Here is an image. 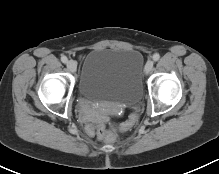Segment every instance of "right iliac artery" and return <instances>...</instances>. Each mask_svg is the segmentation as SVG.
Returning a JSON list of instances; mask_svg holds the SVG:
<instances>
[{"label":"right iliac artery","mask_w":219,"mask_h":174,"mask_svg":"<svg viewBox=\"0 0 219 174\" xmlns=\"http://www.w3.org/2000/svg\"><path fill=\"white\" fill-rule=\"evenodd\" d=\"M61 61L63 62V63H66L67 61H68V59H67V57L66 56H62L61 57Z\"/></svg>","instance_id":"obj_1"}]
</instances>
